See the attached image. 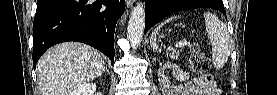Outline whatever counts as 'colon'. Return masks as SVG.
Wrapping results in <instances>:
<instances>
[{"label":"colon","instance_id":"colon-1","mask_svg":"<svg viewBox=\"0 0 277 95\" xmlns=\"http://www.w3.org/2000/svg\"><path fill=\"white\" fill-rule=\"evenodd\" d=\"M191 58H190V68L191 71L198 74H208V70L210 68V60L201 50V48L197 44H193L190 50ZM208 80L213 81L211 75H208Z\"/></svg>","mask_w":277,"mask_h":95}]
</instances>
